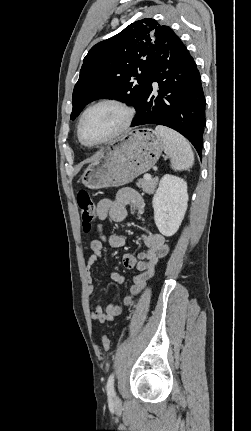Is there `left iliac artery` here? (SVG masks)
Here are the masks:
<instances>
[{
	"mask_svg": "<svg viewBox=\"0 0 251 431\" xmlns=\"http://www.w3.org/2000/svg\"><path fill=\"white\" fill-rule=\"evenodd\" d=\"M106 388H107V394L109 396H114L115 395V391H114V374H111L109 376Z\"/></svg>",
	"mask_w": 251,
	"mask_h": 431,
	"instance_id": "obj_1",
	"label": "left iliac artery"
}]
</instances>
